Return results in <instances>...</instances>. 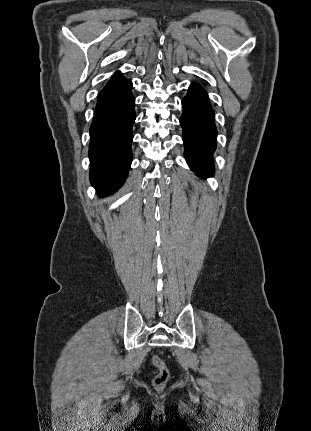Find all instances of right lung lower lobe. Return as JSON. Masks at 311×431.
<instances>
[{
	"instance_id": "1",
	"label": "right lung lower lobe",
	"mask_w": 311,
	"mask_h": 431,
	"mask_svg": "<svg viewBox=\"0 0 311 431\" xmlns=\"http://www.w3.org/2000/svg\"><path fill=\"white\" fill-rule=\"evenodd\" d=\"M132 82L115 73L99 94L90 127V181L100 195L117 190L131 165L135 99Z\"/></svg>"
}]
</instances>
